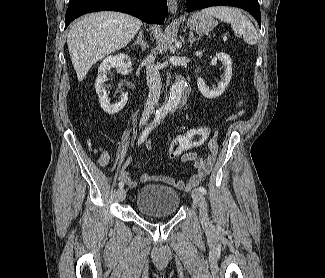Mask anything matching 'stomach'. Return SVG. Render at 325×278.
<instances>
[{
    "label": "stomach",
    "instance_id": "1",
    "mask_svg": "<svg viewBox=\"0 0 325 278\" xmlns=\"http://www.w3.org/2000/svg\"><path fill=\"white\" fill-rule=\"evenodd\" d=\"M187 26L193 31L208 33L214 29L216 23L210 15L195 12L188 19Z\"/></svg>",
    "mask_w": 325,
    "mask_h": 278
}]
</instances>
